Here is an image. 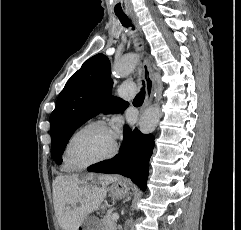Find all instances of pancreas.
Returning a JSON list of instances; mask_svg holds the SVG:
<instances>
[{
	"label": "pancreas",
	"instance_id": "pancreas-1",
	"mask_svg": "<svg viewBox=\"0 0 241 230\" xmlns=\"http://www.w3.org/2000/svg\"><path fill=\"white\" fill-rule=\"evenodd\" d=\"M101 230H117V225L111 216H106L101 221Z\"/></svg>",
	"mask_w": 241,
	"mask_h": 230
}]
</instances>
